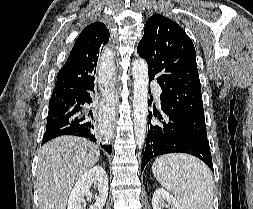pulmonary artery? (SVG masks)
<instances>
[{"label":"pulmonary artery","mask_w":253,"mask_h":209,"mask_svg":"<svg viewBox=\"0 0 253 209\" xmlns=\"http://www.w3.org/2000/svg\"><path fill=\"white\" fill-rule=\"evenodd\" d=\"M151 88L154 91L157 100H159L160 99V94H161V88H160L159 84L156 83V82H152L151 83Z\"/></svg>","instance_id":"obj_1"}]
</instances>
